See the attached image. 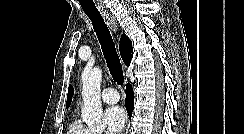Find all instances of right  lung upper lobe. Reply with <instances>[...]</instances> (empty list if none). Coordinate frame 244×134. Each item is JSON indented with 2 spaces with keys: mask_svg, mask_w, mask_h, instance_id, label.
<instances>
[{
  "mask_svg": "<svg viewBox=\"0 0 244 134\" xmlns=\"http://www.w3.org/2000/svg\"><path fill=\"white\" fill-rule=\"evenodd\" d=\"M119 48H120V54L122 60L127 66H129L130 61L133 57V50H132V42L125 34L121 36ZM72 97H73V87L72 85H70L68 88V95H67V102H66L67 108L70 106Z\"/></svg>",
  "mask_w": 244,
  "mask_h": 134,
  "instance_id": "cb5924a9",
  "label": "right lung upper lobe"
}]
</instances>
